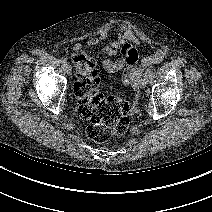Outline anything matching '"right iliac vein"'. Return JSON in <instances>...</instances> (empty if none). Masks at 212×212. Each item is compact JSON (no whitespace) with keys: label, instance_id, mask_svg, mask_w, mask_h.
<instances>
[{"label":"right iliac vein","instance_id":"63e3f726","mask_svg":"<svg viewBox=\"0 0 212 212\" xmlns=\"http://www.w3.org/2000/svg\"><path fill=\"white\" fill-rule=\"evenodd\" d=\"M64 67H65V70H66L67 74L71 75V70H72L71 66L69 64H65Z\"/></svg>","mask_w":212,"mask_h":212}]
</instances>
